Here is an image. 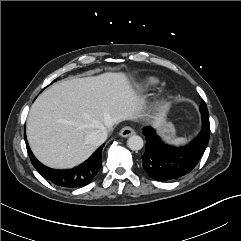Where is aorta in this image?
I'll list each match as a JSON object with an SVG mask.
<instances>
[{
  "label": "aorta",
  "instance_id": "obj_1",
  "mask_svg": "<svg viewBox=\"0 0 241 241\" xmlns=\"http://www.w3.org/2000/svg\"><path fill=\"white\" fill-rule=\"evenodd\" d=\"M127 146L131 150H140L143 147V139L138 135H132L127 140Z\"/></svg>",
  "mask_w": 241,
  "mask_h": 241
}]
</instances>
